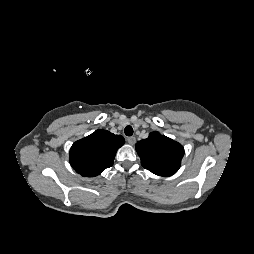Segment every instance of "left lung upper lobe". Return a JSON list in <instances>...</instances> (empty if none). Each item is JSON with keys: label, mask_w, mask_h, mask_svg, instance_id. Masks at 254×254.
Wrapping results in <instances>:
<instances>
[{"label": "left lung upper lobe", "mask_w": 254, "mask_h": 254, "mask_svg": "<svg viewBox=\"0 0 254 254\" xmlns=\"http://www.w3.org/2000/svg\"><path fill=\"white\" fill-rule=\"evenodd\" d=\"M136 150L144 168L164 177L178 171L184 155L181 144L158 132H152L148 138L138 141Z\"/></svg>", "instance_id": "left-lung-upper-lobe-1"}]
</instances>
